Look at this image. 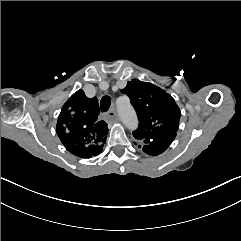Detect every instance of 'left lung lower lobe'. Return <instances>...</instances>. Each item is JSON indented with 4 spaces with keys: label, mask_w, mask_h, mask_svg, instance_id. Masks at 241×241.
<instances>
[{
    "label": "left lung lower lobe",
    "mask_w": 241,
    "mask_h": 241,
    "mask_svg": "<svg viewBox=\"0 0 241 241\" xmlns=\"http://www.w3.org/2000/svg\"><path fill=\"white\" fill-rule=\"evenodd\" d=\"M175 136H176V133H174V134H170V135H168L167 136V146H166V148L163 150V151H165L167 148H168V146L172 143V141L174 140V138H175ZM162 151V152H163ZM161 152V153H162ZM160 154V153H159ZM149 155H158V154H149Z\"/></svg>",
    "instance_id": "1"
}]
</instances>
